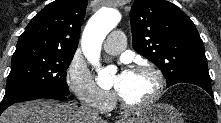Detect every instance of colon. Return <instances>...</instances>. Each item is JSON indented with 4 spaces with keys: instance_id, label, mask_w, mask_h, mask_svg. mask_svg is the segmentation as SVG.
I'll return each instance as SVG.
<instances>
[{
    "instance_id": "obj_1",
    "label": "colon",
    "mask_w": 221,
    "mask_h": 123,
    "mask_svg": "<svg viewBox=\"0 0 221 123\" xmlns=\"http://www.w3.org/2000/svg\"><path fill=\"white\" fill-rule=\"evenodd\" d=\"M193 123H202V122L199 120H195V121H193Z\"/></svg>"
}]
</instances>
